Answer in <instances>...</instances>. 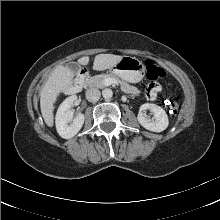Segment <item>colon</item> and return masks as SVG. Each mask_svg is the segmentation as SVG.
I'll list each match as a JSON object with an SVG mask.
<instances>
[{"instance_id":"1","label":"colon","mask_w":220,"mask_h":220,"mask_svg":"<svg viewBox=\"0 0 220 220\" xmlns=\"http://www.w3.org/2000/svg\"><path fill=\"white\" fill-rule=\"evenodd\" d=\"M147 78L155 81L159 78L164 77V69L151 60L145 62ZM166 107L171 115H176L179 112L180 100L176 95H170L166 100Z\"/></svg>"}]
</instances>
